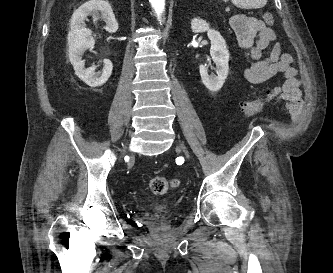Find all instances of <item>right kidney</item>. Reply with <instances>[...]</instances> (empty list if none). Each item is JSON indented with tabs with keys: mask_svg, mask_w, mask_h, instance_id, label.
<instances>
[{
	"mask_svg": "<svg viewBox=\"0 0 333 273\" xmlns=\"http://www.w3.org/2000/svg\"><path fill=\"white\" fill-rule=\"evenodd\" d=\"M100 12V14H99ZM89 15L99 17L105 21L104 29L109 33H115L118 23L113 14L111 5L104 0H89L82 4L72 15L71 29L68 33L69 59L74 67L76 75L91 87L105 84L112 74L113 64L110 60H103L102 72L96 73V66L85 68L82 60L83 53L95 44L91 37V30L86 28L85 20Z\"/></svg>",
	"mask_w": 333,
	"mask_h": 273,
	"instance_id": "obj_1",
	"label": "right kidney"
}]
</instances>
